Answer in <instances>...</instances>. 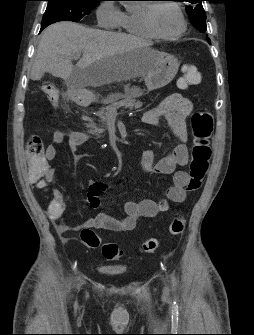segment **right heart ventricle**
<instances>
[{"instance_id":"right-heart-ventricle-1","label":"right heart ventricle","mask_w":254,"mask_h":335,"mask_svg":"<svg viewBox=\"0 0 254 335\" xmlns=\"http://www.w3.org/2000/svg\"><path fill=\"white\" fill-rule=\"evenodd\" d=\"M145 6L146 4L142 5L137 12H124L118 27L132 36L153 38L154 36L146 29L142 21L141 11Z\"/></svg>"}]
</instances>
